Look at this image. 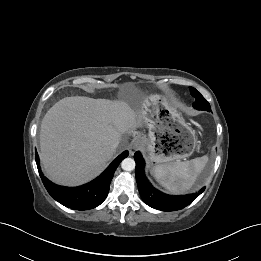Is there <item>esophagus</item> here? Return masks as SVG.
Segmentation results:
<instances>
[{
    "label": "esophagus",
    "mask_w": 261,
    "mask_h": 261,
    "mask_svg": "<svg viewBox=\"0 0 261 261\" xmlns=\"http://www.w3.org/2000/svg\"><path fill=\"white\" fill-rule=\"evenodd\" d=\"M142 147V141L140 139H135L132 141L131 144V153H133L135 150H138Z\"/></svg>",
    "instance_id": "1"
}]
</instances>
